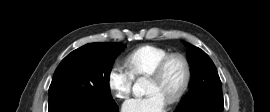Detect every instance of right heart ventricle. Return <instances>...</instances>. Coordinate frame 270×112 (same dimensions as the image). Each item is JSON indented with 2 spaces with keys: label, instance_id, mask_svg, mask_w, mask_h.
I'll return each instance as SVG.
<instances>
[{
  "label": "right heart ventricle",
  "instance_id": "right-heart-ventricle-1",
  "mask_svg": "<svg viewBox=\"0 0 270 112\" xmlns=\"http://www.w3.org/2000/svg\"><path fill=\"white\" fill-rule=\"evenodd\" d=\"M171 53L155 45H143L131 51L125 58L129 71L135 78L149 76L158 64Z\"/></svg>",
  "mask_w": 270,
  "mask_h": 112
}]
</instances>
